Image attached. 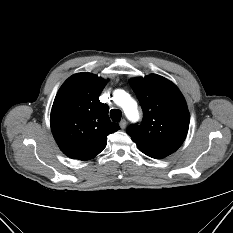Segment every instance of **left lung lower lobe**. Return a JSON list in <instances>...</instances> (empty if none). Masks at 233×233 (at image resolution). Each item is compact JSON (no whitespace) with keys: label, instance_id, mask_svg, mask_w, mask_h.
I'll return each mask as SVG.
<instances>
[{"label":"left lung lower lobe","instance_id":"1","mask_svg":"<svg viewBox=\"0 0 233 233\" xmlns=\"http://www.w3.org/2000/svg\"><path fill=\"white\" fill-rule=\"evenodd\" d=\"M148 156H150V157H152V158H156V159H160V158L166 157V156H164V155H159V154H152V155H148Z\"/></svg>","mask_w":233,"mask_h":233}]
</instances>
